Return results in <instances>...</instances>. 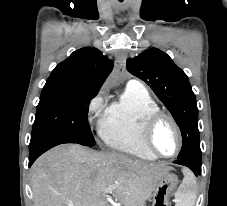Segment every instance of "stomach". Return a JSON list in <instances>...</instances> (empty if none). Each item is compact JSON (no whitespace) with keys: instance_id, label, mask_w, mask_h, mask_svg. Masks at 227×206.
<instances>
[{"instance_id":"1","label":"stomach","mask_w":227,"mask_h":206,"mask_svg":"<svg viewBox=\"0 0 227 206\" xmlns=\"http://www.w3.org/2000/svg\"><path fill=\"white\" fill-rule=\"evenodd\" d=\"M178 184L176 175L167 173L156 184L153 190L152 206H169V199Z\"/></svg>"}]
</instances>
